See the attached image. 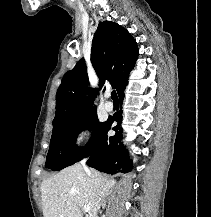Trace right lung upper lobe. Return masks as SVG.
I'll return each mask as SVG.
<instances>
[{"mask_svg": "<svg viewBox=\"0 0 211 217\" xmlns=\"http://www.w3.org/2000/svg\"><path fill=\"white\" fill-rule=\"evenodd\" d=\"M135 39L122 26L111 21L99 23L91 48V62L99 76L100 88L109 82L120 94L128 83L129 72L138 57ZM88 75L84 59L67 72L56 94L53 127L81 118L93 111L87 94ZM93 99L97 89L88 90Z\"/></svg>", "mask_w": 211, "mask_h": 217, "instance_id": "1", "label": "right lung upper lobe"}]
</instances>
